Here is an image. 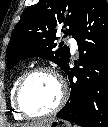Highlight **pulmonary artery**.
<instances>
[{"label":"pulmonary artery","instance_id":"e3ab8cb5","mask_svg":"<svg viewBox=\"0 0 108 127\" xmlns=\"http://www.w3.org/2000/svg\"><path fill=\"white\" fill-rule=\"evenodd\" d=\"M69 43H70V46H71L72 53H75L78 50V45H77L76 40L73 37H71L69 39Z\"/></svg>","mask_w":108,"mask_h":127}]
</instances>
